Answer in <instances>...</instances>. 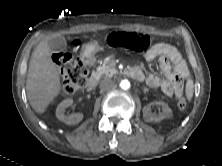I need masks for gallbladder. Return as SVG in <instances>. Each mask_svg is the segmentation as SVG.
Segmentation results:
<instances>
[{"label":"gallbladder","mask_w":222,"mask_h":166,"mask_svg":"<svg viewBox=\"0 0 222 166\" xmlns=\"http://www.w3.org/2000/svg\"><path fill=\"white\" fill-rule=\"evenodd\" d=\"M48 46L53 52L63 51L67 47V42L63 36H57L48 41Z\"/></svg>","instance_id":"gallbladder-1"}]
</instances>
